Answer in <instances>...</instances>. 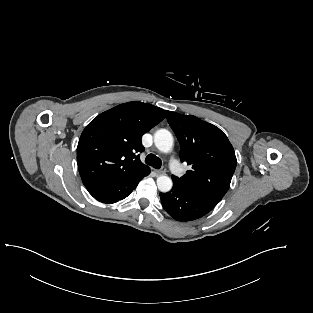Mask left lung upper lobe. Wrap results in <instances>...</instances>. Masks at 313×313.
<instances>
[{"instance_id": "left-lung-upper-lobe-1", "label": "left lung upper lobe", "mask_w": 313, "mask_h": 313, "mask_svg": "<svg viewBox=\"0 0 313 313\" xmlns=\"http://www.w3.org/2000/svg\"><path fill=\"white\" fill-rule=\"evenodd\" d=\"M167 121L180 143V159L191 166L173 182L184 190L219 202L229 189L237 160L227 136L195 116L167 111Z\"/></svg>"}]
</instances>
